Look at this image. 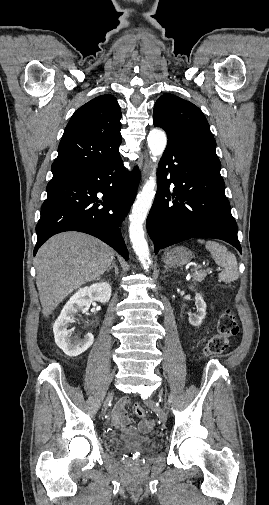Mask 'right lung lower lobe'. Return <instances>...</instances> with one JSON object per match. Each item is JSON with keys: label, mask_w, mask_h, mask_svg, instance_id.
<instances>
[{"label": "right lung lower lobe", "mask_w": 269, "mask_h": 505, "mask_svg": "<svg viewBox=\"0 0 269 505\" xmlns=\"http://www.w3.org/2000/svg\"><path fill=\"white\" fill-rule=\"evenodd\" d=\"M139 180L138 168L127 172L120 155L73 175L51 180L36 226L34 255L51 236L79 231L101 239L128 260L118 226L135 199ZM98 193L103 197L97 196Z\"/></svg>", "instance_id": "1"}]
</instances>
